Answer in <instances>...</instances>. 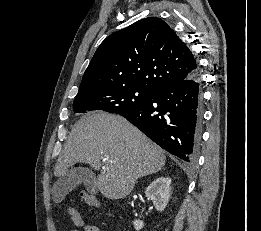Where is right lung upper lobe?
<instances>
[{
  "mask_svg": "<svg viewBox=\"0 0 261 231\" xmlns=\"http://www.w3.org/2000/svg\"><path fill=\"white\" fill-rule=\"evenodd\" d=\"M198 72L186 44L166 22L149 17L107 37L86 69L78 95L124 86L151 92Z\"/></svg>",
  "mask_w": 261,
  "mask_h": 231,
  "instance_id": "obj_1",
  "label": "right lung upper lobe"
}]
</instances>
